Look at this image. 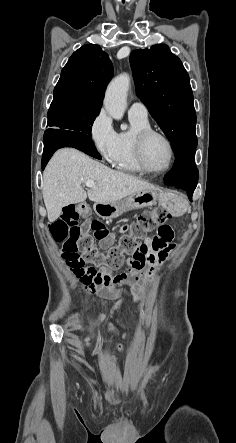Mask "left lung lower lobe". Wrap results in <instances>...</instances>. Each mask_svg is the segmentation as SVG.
<instances>
[{"instance_id": "left-lung-lower-lobe-1", "label": "left lung lower lobe", "mask_w": 236, "mask_h": 443, "mask_svg": "<svg viewBox=\"0 0 236 443\" xmlns=\"http://www.w3.org/2000/svg\"><path fill=\"white\" fill-rule=\"evenodd\" d=\"M195 149L196 145H193L176 155L173 168L164 177L165 185H173L186 190L190 201H192V195L198 181Z\"/></svg>"}]
</instances>
